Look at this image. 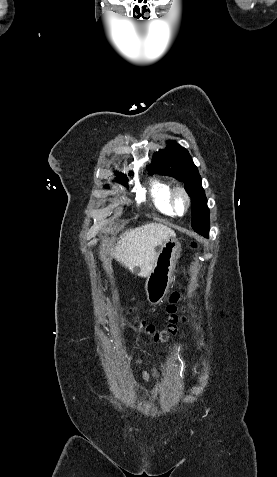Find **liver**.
I'll use <instances>...</instances> for the list:
<instances>
[{
    "mask_svg": "<svg viewBox=\"0 0 277 477\" xmlns=\"http://www.w3.org/2000/svg\"><path fill=\"white\" fill-rule=\"evenodd\" d=\"M171 236L175 232L160 223L128 229L120 236L112 256L130 271L139 267V276L148 277L158 255L156 248Z\"/></svg>",
    "mask_w": 277,
    "mask_h": 477,
    "instance_id": "liver-1",
    "label": "liver"
}]
</instances>
